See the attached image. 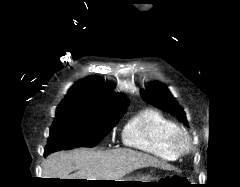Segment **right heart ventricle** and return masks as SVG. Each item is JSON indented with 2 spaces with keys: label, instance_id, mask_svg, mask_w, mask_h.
<instances>
[{
  "label": "right heart ventricle",
  "instance_id": "right-heart-ventricle-1",
  "mask_svg": "<svg viewBox=\"0 0 240 187\" xmlns=\"http://www.w3.org/2000/svg\"><path fill=\"white\" fill-rule=\"evenodd\" d=\"M178 125L158 110L147 108L127 122L122 132L123 143L165 161H174L179 154L172 146Z\"/></svg>",
  "mask_w": 240,
  "mask_h": 187
}]
</instances>
